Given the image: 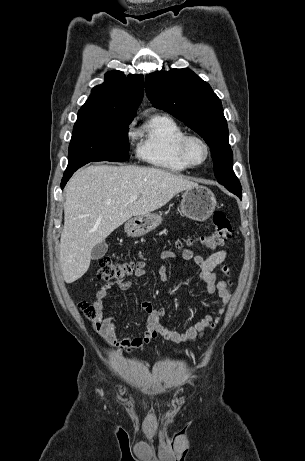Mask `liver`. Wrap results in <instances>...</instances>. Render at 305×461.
I'll return each instance as SVG.
<instances>
[{"label": "liver", "instance_id": "obj_1", "mask_svg": "<svg viewBox=\"0 0 305 461\" xmlns=\"http://www.w3.org/2000/svg\"><path fill=\"white\" fill-rule=\"evenodd\" d=\"M197 183L157 168L89 166L66 187L60 264L66 283L89 269L91 251L133 216L151 213ZM138 199L131 202L130 197Z\"/></svg>", "mask_w": 305, "mask_h": 461}]
</instances>
